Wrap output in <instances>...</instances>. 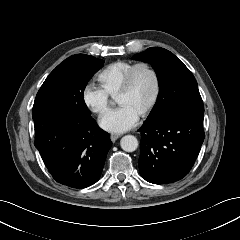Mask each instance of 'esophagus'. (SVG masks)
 Instances as JSON below:
<instances>
[{
	"mask_svg": "<svg viewBox=\"0 0 240 240\" xmlns=\"http://www.w3.org/2000/svg\"><path fill=\"white\" fill-rule=\"evenodd\" d=\"M119 137H120V135H118V134H111L110 135V138H111L112 142H115Z\"/></svg>",
	"mask_w": 240,
	"mask_h": 240,
	"instance_id": "esophagus-1",
	"label": "esophagus"
}]
</instances>
